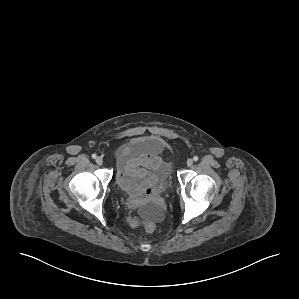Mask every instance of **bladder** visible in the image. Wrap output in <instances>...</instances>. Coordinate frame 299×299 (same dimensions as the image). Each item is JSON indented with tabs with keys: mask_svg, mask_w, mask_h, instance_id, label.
<instances>
[{
	"mask_svg": "<svg viewBox=\"0 0 299 299\" xmlns=\"http://www.w3.org/2000/svg\"><path fill=\"white\" fill-rule=\"evenodd\" d=\"M163 147V143L157 138L139 139L130 144L132 151L139 156H158L162 153ZM149 173L155 176L156 182L161 190H166L169 187V180L167 178L168 170L163 163L150 169Z\"/></svg>",
	"mask_w": 299,
	"mask_h": 299,
	"instance_id": "1",
	"label": "bladder"
}]
</instances>
